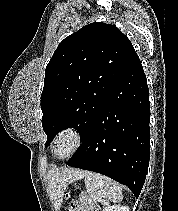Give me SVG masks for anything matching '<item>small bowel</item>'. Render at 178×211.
<instances>
[{
	"label": "small bowel",
	"mask_w": 178,
	"mask_h": 211,
	"mask_svg": "<svg viewBox=\"0 0 178 211\" xmlns=\"http://www.w3.org/2000/svg\"><path fill=\"white\" fill-rule=\"evenodd\" d=\"M79 211H97V210L90 200H83L80 202Z\"/></svg>",
	"instance_id": "c3829d8e"
}]
</instances>
